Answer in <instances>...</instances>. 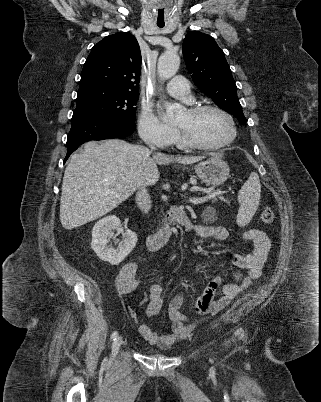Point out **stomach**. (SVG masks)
Returning a JSON list of instances; mask_svg holds the SVG:
<instances>
[{
	"instance_id": "obj_1",
	"label": "stomach",
	"mask_w": 321,
	"mask_h": 402,
	"mask_svg": "<svg viewBox=\"0 0 321 402\" xmlns=\"http://www.w3.org/2000/svg\"><path fill=\"white\" fill-rule=\"evenodd\" d=\"M196 174L206 185H221L229 177V167L220 158L212 157L194 166Z\"/></svg>"
}]
</instances>
